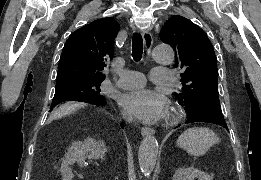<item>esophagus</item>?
<instances>
[{
    "label": "esophagus",
    "mask_w": 261,
    "mask_h": 180,
    "mask_svg": "<svg viewBox=\"0 0 261 180\" xmlns=\"http://www.w3.org/2000/svg\"><path fill=\"white\" fill-rule=\"evenodd\" d=\"M143 41L146 48V54L148 57L151 56V50H152V44H153V38L151 33L148 30L143 31ZM155 133V130L150 127H144L141 130V134L143 137H146L148 135H153Z\"/></svg>",
    "instance_id": "obj_1"
}]
</instances>
